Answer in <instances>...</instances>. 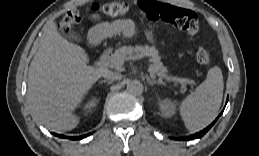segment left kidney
Here are the masks:
<instances>
[{"mask_svg":"<svg viewBox=\"0 0 259 156\" xmlns=\"http://www.w3.org/2000/svg\"><path fill=\"white\" fill-rule=\"evenodd\" d=\"M158 106L161 116L171 118L176 113V101L169 98L159 99Z\"/></svg>","mask_w":259,"mask_h":156,"instance_id":"1","label":"left kidney"}]
</instances>
